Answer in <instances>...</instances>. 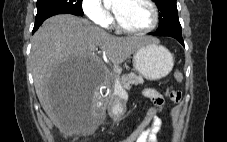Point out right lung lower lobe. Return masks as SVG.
I'll list each match as a JSON object with an SVG mask.
<instances>
[{
    "mask_svg": "<svg viewBox=\"0 0 227 142\" xmlns=\"http://www.w3.org/2000/svg\"><path fill=\"white\" fill-rule=\"evenodd\" d=\"M49 17L50 16H48V17H42V18H36L35 25H34V28H33L32 33H34L39 28V26L42 24V22L44 20H46L47 18H49Z\"/></svg>",
    "mask_w": 227,
    "mask_h": 142,
    "instance_id": "obj_1",
    "label": "right lung lower lobe"
}]
</instances>
